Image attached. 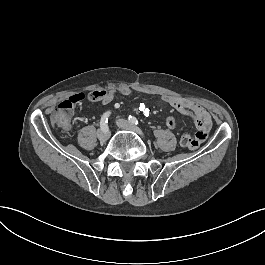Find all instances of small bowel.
Returning a JSON list of instances; mask_svg holds the SVG:
<instances>
[{"instance_id": "small-bowel-1", "label": "small bowel", "mask_w": 265, "mask_h": 265, "mask_svg": "<svg viewBox=\"0 0 265 265\" xmlns=\"http://www.w3.org/2000/svg\"><path fill=\"white\" fill-rule=\"evenodd\" d=\"M136 93L151 94L152 92L141 87H113L105 92L103 96V103H110L116 94L132 95ZM161 99L164 103L171 106L179 113L192 118L197 132L194 137L196 140L191 143V146L195 150H198L201 147L200 142L207 139L211 130L212 120L209 112L201 104L188 98L164 94ZM165 125L170 130H174L177 127L176 120L171 116L166 118Z\"/></svg>"}]
</instances>
